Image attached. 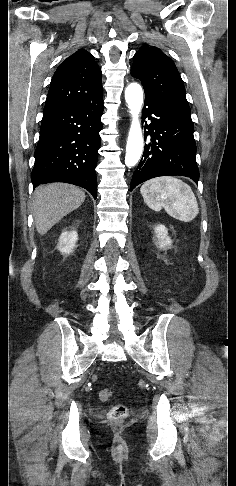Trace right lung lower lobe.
Wrapping results in <instances>:
<instances>
[{
    "mask_svg": "<svg viewBox=\"0 0 236 486\" xmlns=\"http://www.w3.org/2000/svg\"><path fill=\"white\" fill-rule=\"evenodd\" d=\"M103 97L43 113L31 173L33 187L65 182L96 199V165L101 145Z\"/></svg>",
    "mask_w": 236,
    "mask_h": 486,
    "instance_id": "98d812e1",
    "label": "right lung lower lobe"
}]
</instances>
